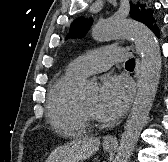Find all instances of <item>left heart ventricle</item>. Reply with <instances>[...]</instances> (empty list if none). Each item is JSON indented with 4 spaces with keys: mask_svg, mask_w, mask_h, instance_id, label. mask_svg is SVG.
<instances>
[{
    "mask_svg": "<svg viewBox=\"0 0 168 162\" xmlns=\"http://www.w3.org/2000/svg\"><path fill=\"white\" fill-rule=\"evenodd\" d=\"M97 94L96 93H91L84 95L81 99L86 106V108L97 117L96 115V103H97Z\"/></svg>",
    "mask_w": 168,
    "mask_h": 162,
    "instance_id": "b2bd125f",
    "label": "left heart ventricle"
}]
</instances>
